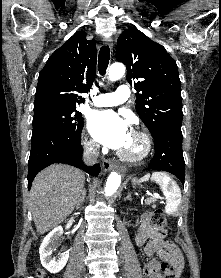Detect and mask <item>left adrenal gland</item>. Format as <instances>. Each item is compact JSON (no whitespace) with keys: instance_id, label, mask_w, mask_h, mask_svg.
<instances>
[{"instance_id":"obj_1","label":"left adrenal gland","mask_w":221,"mask_h":278,"mask_svg":"<svg viewBox=\"0 0 221 278\" xmlns=\"http://www.w3.org/2000/svg\"><path fill=\"white\" fill-rule=\"evenodd\" d=\"M126 200H132V198H131V193H128V195L124 198V201H126Z\"/></svg>"}]
</instances>
